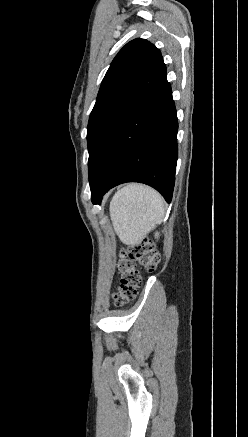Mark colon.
Instances as JSON below:
<instances>
[{"mask_svg": "<svg viewBox=\"0 0 248 437\" xmlns=\"http://www.w3.org/2000/svg\"><path fill=\"white\" fill-rule=\"evenodd\" d=\"M160 261V255L149 240H139L121 251L119 268L121 271L120 286L114 294L116 306H122L132 300L141 284V275L137 269L140 265L153 271Z\"/></svg>", "mask_w": 248, "mask_h": 437, "instance_id": "obj_1", "label": "colon"}]
</instances>
